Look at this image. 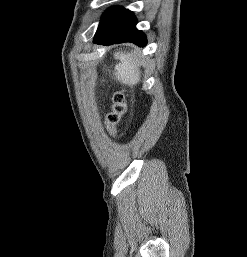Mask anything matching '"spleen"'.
<instances>
[{"mask_svg": "<svg viewBox=\"0 0 247 257\" xmlns=\"http://www.w3.org/2000/svg\"><path fill=\"white\" fill-rule=\"evenodd\" d=\"M114 57L121 61V63L115 67V78L123 84H136L140 79V70L138 68L139 62L137 57L123 52L115 53Z\"/></svg>", "mask_w": 247, "mask_h": 257, "instance_id": "3e777b00", "label": "spleen"}]
</instances>
